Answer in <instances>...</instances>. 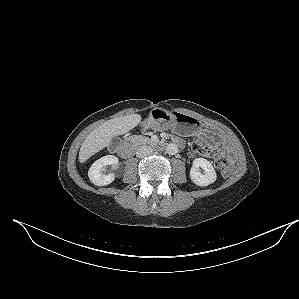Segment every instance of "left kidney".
Returning <instances> with one entry per match:
<instances>
[{
	"label": "left kidney",
	"instance_id": "5707ae66",
	"mask_svg": "<svg viewBox=\"0 0 299 299\" xmlns=\"http://www.w3.org/2000/svg\"><path fill=\"white\" fill-rule=\"evenodd\" d=\"M204 170V174L200 172ZM216 172L212 163L204 158H196L190 169V178L198 186H208L216 181Z\"/></svg>",
	"mask_w": 299,
	"mask_h": 299
}]
</instances>
